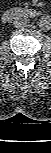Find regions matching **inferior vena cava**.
Wrapping results in <instances>:
<instances>
[{
	"mask_svg": "<svg viewBox=\"0 0 51 153\" xmlns=\"http://www.w3.org/2000/svg\"><path fill=\"white\" fill-rule=\"evenodd\" d=\"M29 24V18L25 15H18L13 19V26L16 28H22Z\"/></svg>",
	"mask_w": 51,
	"mask_h": 153,
	"instance_id": "1",
	"label": "inferior vena cava"
}]
</instances>
